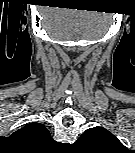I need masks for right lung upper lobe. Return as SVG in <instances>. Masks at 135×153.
<instances>
[{"instance_id":"cb5924a9","label":"right lung upper lobe","mask_w":135,"mask_h":153,"mask_svg":"<svg viewBox=\"0 0 135 153\" xmlns=\"http://www.w3.org/2000/svg\"><path fill=\"white\" fill-rule=\"evenodd\" d=\"M12 136H16L24 142L34 146H44L53 141L47 128L40 123H30L17 130Z\"/></svg>"}]
</instances>
